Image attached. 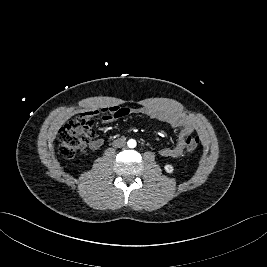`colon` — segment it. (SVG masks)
I'll list each match as a JSON object with an SVG mask.
<instances>
[{"mask_svg":"<svg viewBox=\"0 0 267 267\" xmlns=\"http://www.w3.org/2000/svg\"><path fill=\"white\" fill-rule=\"evenodd\" d=\"M94 138V122L91 117L81 115L60 128L58 132L59 154L63 158H72ZM186 150L194 152L199 146L197 136H188Z\"/></svg>","mask_w":267,"mask_h":267,"instance_id":"colon-1","label":"colon"}]
</instances>
